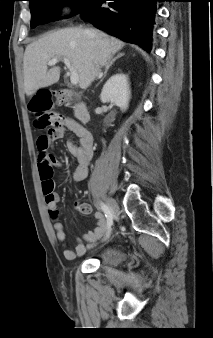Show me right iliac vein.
<instances>
[{"mask_svg":"<svg viewBox=\"0 0 213 338\" xmlns=\"http://www.w3.org/2000/svg\"><path fill=\"white\" fill-rule=\"evenodd\" d=\"M105 201L113 217H118L120 213L118 204L110 197H106Z\"/></svg>","mask_w":213,"mask_h":338,"instance_id":"right-iliac-vein-1","label":"right iliac vein"}]
</instances>
